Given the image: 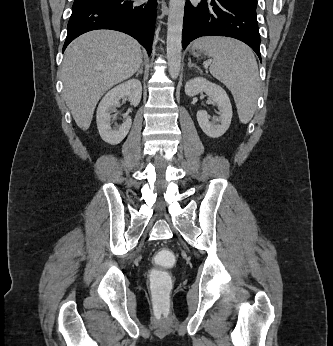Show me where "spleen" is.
I'll return each mask as SVG.
<instances>
[{
	"label": "spleen",
	"mask_w": 333,
	"mask_h": 346,
	"mask_svg": "<svg viewBox=\"0 0 333 346\" xmlns=\"http://www.w3.org/2000/svg\"><path fill=\"white\" fill-rule=\"evenodd\" d=\"M193 48L205 51L213 60L210 73L232 93L240 121L248 123L256 109L260 78L252 50L240 41L226 37H202Z\"/></svg>",
	"instance_id": "spleen-1"
}]
</instances>
